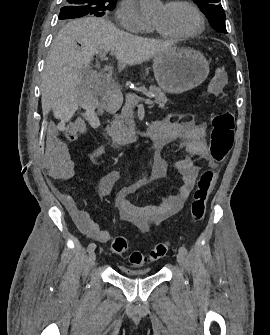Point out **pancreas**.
I'll return each mask as SVG.
<instances>
[{
  "label": "pancreas",
  "instance_id": "pancreas-1",
  "mask_svg": "<svg viewBox=\"0 0 270 335\" xmlns=\"http://www.w3.org/2000/svg\"><path fill=\"white\" fill-rule=\"evenodd\" d=\"M149 92L154 94L155 102L159 104V108H164L168 102L165 92H162L161 88H156V86H150ZM133 114V106H124L120 116H115V120L111 122V128L108 132L112 142H123V140H126V136L132 134Z\"/></svg>",
  "mask_w": 270,
  "mask_h": 335
}]
</instances>
